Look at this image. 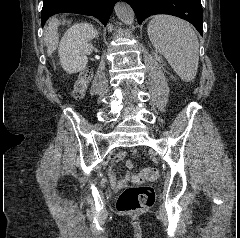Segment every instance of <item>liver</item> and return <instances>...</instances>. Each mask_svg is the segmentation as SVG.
<instances>
[{"instance_id": "6515ba94", "label": "liver", "mask_w": 240, "mask_h": 238, "mask_svg": "<svg viewBox=\"0 0 240 238\" xmlns=\"http://www.w3.org/2000/svg\"><path fill=\"white\" fill-rule=\"evenodd\" d=\"M61 22L57 19L49 21L44 33V43L47 46V54L51 56L59 43L58 26Z\"/></svg>"}]
</instances>
